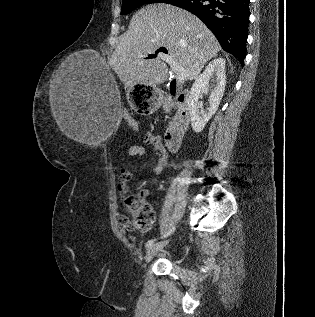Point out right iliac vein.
Returning <instances> with one entry per match:
<instances>
[{"label": "right iliac vein", "mask_w": 315, "mask_h": 317, "mask_svg": "<svg viewBox=\"0 0 315 317\" xmlns=\"http://www.w3.org/2000/svg\"><path fill=\"white\" fill-rule=\"evenodd\" d=\"M167 244V241L156 243L149 247L146 252L145 261L148 263L159 251H161Z\"/></svg>", "instance_id": "63e3f726"}]
</instances>
